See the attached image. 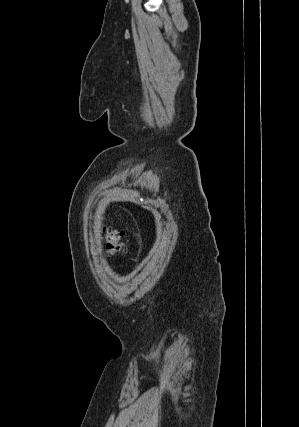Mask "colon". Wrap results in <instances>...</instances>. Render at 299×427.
I'll list each match as a JSON object with an SVG mask.
<instances>
[{
  "mask_svg": "<svg viewBox=\"0 0 299 427\" xmlns=\"http://www.w3.org/2000/svg\"><path fill=\"white\" fill-rule=\"evenodd\" d=\"M102 231L106 240L105 253L111 255L118 252L121 248V234L117 231L107 229L106 227H103Z\"/></svg>",
  "mask_w": 299,
  "mask_h": 427,
  "instance_id": "obj_1",
  "label": "colon"
}]
</instances>
